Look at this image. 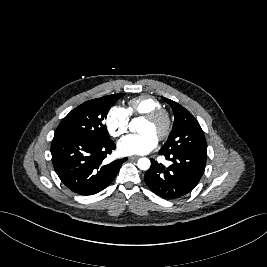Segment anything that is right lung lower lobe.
Instances as JSON below:
<instances>
[{
    "label": "right lung lower lobe",
    "mask_w": 267,
    "mask_h": 267,
    "mask_svg": "<svg viewBox=\"0 0 267 267\" xmlns=\"http://www.w3.org/2000/svg\"><path fill=\"white\" fill-rule=\"evenodd\" d=\"M111 140L53 138L52 163L61 182L79 195H92L105 189L116 177L127 158L106 164L104 159L115 149Z\"/></svg>",
    "instance_id": "right-lung-lower-lobe-1"
}]
</instances>
